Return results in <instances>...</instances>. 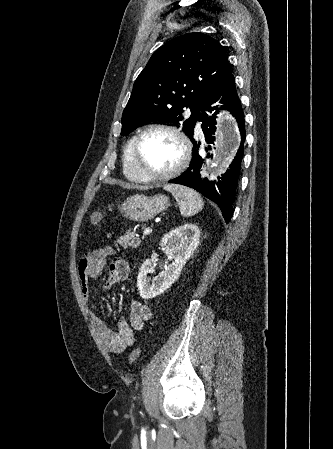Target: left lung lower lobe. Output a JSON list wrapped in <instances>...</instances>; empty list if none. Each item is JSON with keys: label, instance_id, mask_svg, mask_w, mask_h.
Listing matches in <instances>:
<instances>
[{"label": "left lung lower lobe", "instance_id": "1", "mask_svg": "<svg viewBox=\"0 0 333 449\" xmlns=\"http://www.w3.org/2000/svg\"><path fill=\"white\" fill-rule=\"evenodd\" d=\"M218 100H220L219 103L222 104L221 107L229 110L233 117L236 118L241 134L240 147L230 165V169H228L222 177H218L217 181H208L207 178L201 179L199 170L204 162V158L199 154L201 143L196 140L194 135L191 140L193 143V157L189 168L182 175L169 182L194 188L205 197L214 201L221 209L226 223H228L233 213L232 204L234 202L237 181L240 174L241 161L244 152L243 145L246 137L244 113L235 88L233 75H231L215 92L200 115L199 121L202 122L201 128L205 134L207 143H213L215 140V119L219 108L217 106L211 107V105ZM214 110H216V112H214L212 116H209V113H212ZM207 156L210 157V154L208 153Z\"/></svg>", "mask_w": 333, "mask_h": 449}]
</instances>
